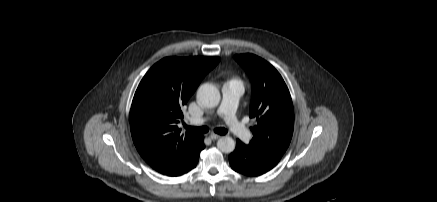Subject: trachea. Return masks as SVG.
<instances>
[{"instance_id": "obj_1", "label": "trachea", "mask_w": 437, "mask_h": 202, "mask_svg": "<svg viewBox=\"0 0 437 202\" xmlns=\"http://www.w3.org/2000/svg\"><path fill=\"white\" fill-rule=\"evenodd\" d=\"M187 130L197 133V134H205L209 131V128L207 126H202V127H191V126H185ZM215 133L220 134V135H225L227 134V129L225 128H216Z\"/></svg>"}]
</instances>
